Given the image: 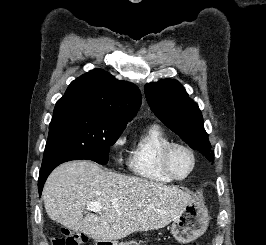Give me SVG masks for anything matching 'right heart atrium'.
<instances>
[{
    "instance_id": "right-heart-atrium-1",
    "label": "right heart atrium",
    "mask_w": 266,
    "mask_h": 245,
    "mask_svg": "<svg viewBox=\"0 0 266 245\" xmlns=\"http://www.w3.org/2000/svg\"><path fill=\"white\" fill-rule=\"evenodd\" d=\"M126 140H127L126 134L119 133L113 138L112 147L116 150L121 149L126 144Z\"/></svg>"
}]
</instances>
